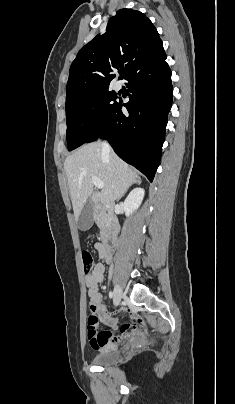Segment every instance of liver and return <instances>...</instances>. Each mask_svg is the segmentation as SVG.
I'll use <instances>...</instances> for the list:
<instances>
[{"mask_svg": "<svg viewBox=\"0 0 235 404\" xmlns=\"http://www.w3.org/2000/svg\"><path fill=\"white\" fill-rule=\"evenodd\" d=\"M64 170L76 219L88 199L94 204L112 203L140 179L111 149L104 152L100 141L85 144L68 156L64 162ZM92 176L104 182L101 192H94Z\"/></svg>", "mask_w": 235, "mask_h": 404, "instance_id": "1", "label": "liver"}]
</instances>
